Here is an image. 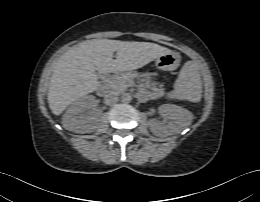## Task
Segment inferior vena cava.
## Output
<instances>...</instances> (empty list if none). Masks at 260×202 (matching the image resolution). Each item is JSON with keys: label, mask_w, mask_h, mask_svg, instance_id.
Segmentation results:
<instances>
[{"label": "inferior vena cava", "mask_w": 260, "mask_h": 202, "mask_svg": "<svg viewBox=\"0 0 260 202\" xmlns=\"http://www.w3.org/2000/svg\"><path fill=\"white\" fill-rule=\"evenodd\" d=\"M104 101H105V103L108 104V105L115 104V103L118 102V94L115 93V92L107 93V94L104 96Z\"/></svg>", "instance_id": "inferior-vena-cava-1"}]
</instances>
